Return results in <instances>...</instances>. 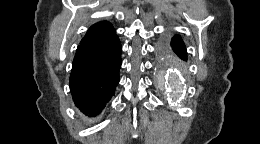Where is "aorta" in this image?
Listing matches in <instances>:
<instances>
[{
  "instance_id": "aorta-1",
  "label": "aorta",
  "mask_w": 260,
  "mask_h": 144,
  "mask_svg": "<svg viewBox=\"0 0 260 144\" xmlns=\"http://www.w3.org/2000/svg\"><path fill=\"white\" fill-rule=\"evenodd\" d=\"M165 87L173 96H178L182 89L181 78L175 69L168 67L165 71Z\"/></svg>"
}]
</instances>
